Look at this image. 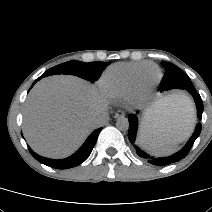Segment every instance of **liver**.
I'll use <instances>...</instances> for the list:
<instances>
[{
  "mask_svg": "<svg viewBox=\"0 0 212 212\" xmlns=\"http://www.w3.org/2000/svg\"><path fill=\"white\" fill-rule=\"evenodd\" d=\"M97 89L73 76H51L31 90L23 110V132L39 154L64 158L76 151L95 128L92 119L106 111ZM145 129L186 138L194 112L175 95L157 101L146 112Z\"/></svg>",
  "mask_w": 212,
  "mask_h": 212,
  "instance_id": "liver-1",
  "label": "liver"
}]
</instances>
